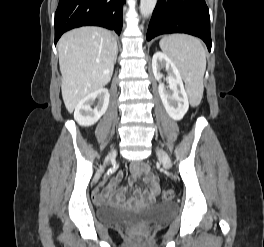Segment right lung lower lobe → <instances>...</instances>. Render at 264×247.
<instances>
[{"instance_id": "obj_1", "label": "right lung lower lobe", "mask_w": 264, "mask_h": 247, "mask_svg": "<svg viewBox=\"0 0 264 247\" xmlns=\"http://www.w3.org/2000/svg\"><path fill=\"white\" fill-rule=\"evenodd\" d=\"M123 3L124 0H59L55 13V44L64 32L87 25L105 27L120 34Z\"/></svg>"}]
</instances>
